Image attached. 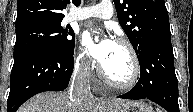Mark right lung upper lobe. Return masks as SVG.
Wrapping results in <instances>:
<instances>
[{"label": "right lung upper lobe", "instance_id": "obj_1", "mask_svg": "<svg viewBox=\"0 0 193 112\" xmlns=\"http://www.w3.org/2000/svg\"><path fill=\"white\" fill-rule=\"evenodd\" d=\"M75 5L80 0H72ZM70 0H18L16 30L35 24L61 23Z\"/></svg>", "mask_w": 193, "mask_h": 112}]
</instances>
